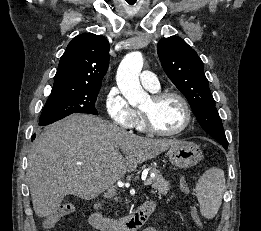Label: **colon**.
I'll return each mask as SVG.
<instances>
[{
	"mask_svg": "<svg viewBox=\"0 0 261 231\" xmlns=\"http://www.w3.org/2000/svg\"><path fill=\"white\" fill-rule=\"evenodd\" d=\"M180 186H181V189L187 187L185 182H181ZM75 210H76V206L74 204L70 203V204L63 205L60 208H56V209L49 211L46 216V219H45V227L48 229L51 228L58 221L59 218H61L62 216L66 215V214L73 213ZM192 217H193V220H194L196 226L199 229H202V223L196 212L192 213Z\"/></svg>",
	"mask_w": 261,
	"mask_h": 231,
	"instance_id": "colon-1",
	"label": "colon"
}]
</instances>
